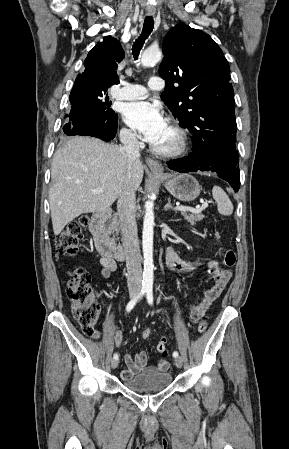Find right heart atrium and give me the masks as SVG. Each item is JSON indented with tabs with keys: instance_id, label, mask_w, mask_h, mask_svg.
Listing matches in <instances>:
<instances>
[{
	"instance_id": "obj_1",
	"label": "right heart atrium",
	"mask_w": 289,
	"mask_h": 449,
	"mask_svg": "<svg viewBox=\"0 0 289 449\" xmlns=\"http://www.w3.org/2000/svg\"><path fill=\"white\" fill-rule=\"evenodd\" d=\"M121 138L125 143L131 144L136 141L134 133L129 129H122L121 131Z\"/></svg>"
}]
</instances>
